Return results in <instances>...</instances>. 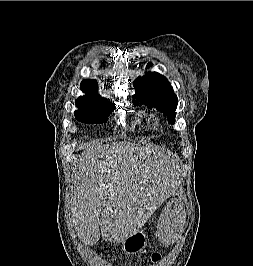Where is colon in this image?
<instances>
[{"label": "colon", "instance_id": "colon-1", "mask_svg": "<svg viewBox=\"0 0 253 266\" xmlns=\"http://www.w3.org/2000/svg\"><path fill=\"white\" fill-rule=\"evenodd\" d=\"M159 258H160V255L157 254V253H155V254L152 255L153 261H157Z\"/></svg>", "mask_w": 253, "mask_h": 266}]
</instances>
